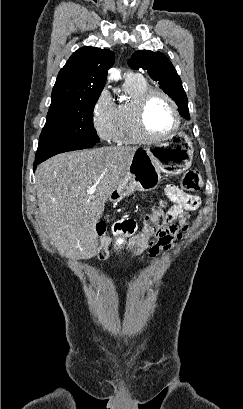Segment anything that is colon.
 Here are the masks:
<instances>
[{
	"instance_id": "5ec220e1",
	"label": "colon",
	"mask_w": 243,
	"mask_h": 409,
	"mask_svg": "<svg viewBox=\"0 0 243 409\" xmlns=\"http://www.w3.org/2000/svg\"><path fill=\"white\" fill-rule=\"evenodd\" d=\"M203 178L200 171L191 169L187 171L181 181L182 188L189 192H198L203 188ZM166 203L160 202L159 205L152 208L143 219V229L136 234L129 242V249L138 253L143 250L151 236L157 238L162 237L167 233V229L160 224V220L164 215V208ZM97 233L101 237V243L98 248V257L106 258L111 253L110 240L105 238L104 227L102 224L97 226Z\"/></svg>"
}]
</instances>
